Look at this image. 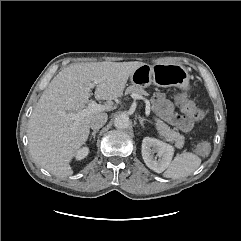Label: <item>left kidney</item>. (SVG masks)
<instances>
[{"instance_id":"1","label":"left kidney","mask_w":241,"mask_h":241,"mask_svg":"<svg viewBox=\"0 0 241 241\" xmlns=\"http://www.w3.org/2000/svg\"><path fill=\"white\" fill-rule=\"evenodd\" d=\"M141 152L147 167L154 172L162 173L171 162L174 147L158 139L145 137Z\"/></svg>"}]
</instances>
